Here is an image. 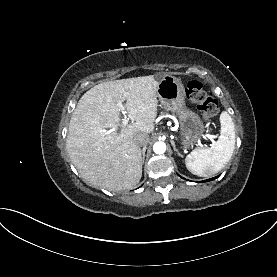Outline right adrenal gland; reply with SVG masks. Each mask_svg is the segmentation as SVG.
<instances>
[{
    "label": "right adrenal gland",
    "mask_w": 277,
    "mask_h": 277,
    "mask_svg": "<svg viewBox=\"0 0 277 277\" xmlns=\"http://www.w3.org/2000/svg\"><path fill=\"white\" fill-rule=\"evenodd\" d=\"M146 149H147V147H143V149H142V164L144 163V160H145Z\"/></svg>",
    "instance_id": "obj_1"
}]
</instances>
